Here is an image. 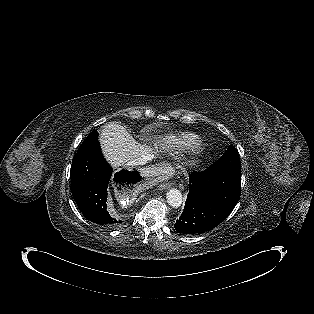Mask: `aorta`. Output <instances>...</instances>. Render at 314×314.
<instances>
[{
  "label": "aorta",
  "instance_id": "1",
  "mask_svg": "<svg viewBox=\"0 0 314 314\" xmlns=\"http://www.w3.org/2000/svg\"><path fill=\"white\" fill-rule=\"evenodd\" d=\"M167 202L172 208H178L183 202L181 192L176 188H171L166 195Z\"/></svg>",
  "mask_w": 314,
  "mask_h": 314
}]
</instances>
